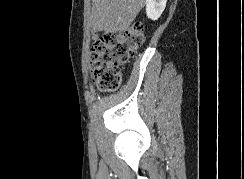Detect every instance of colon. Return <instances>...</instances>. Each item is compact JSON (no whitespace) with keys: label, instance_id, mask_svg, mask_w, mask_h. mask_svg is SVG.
I'll return each mask as SVG.
<instances>
[{"label":"colon","instance_id":"colon-1","mask_svg":"<svg viewBox=\"0 0 244 179\" xmlns=\"http://www.w3.org/2000/svg\"><path fill=\"white\" fill-rule=\"evenodd\" d=\"M145 40L142 24H134L122 33H109L94 38L92 78L103 91H115L122 79V66L128 64Z\"/></svg>","mask_w":244,"mask_h":179}]
</instances>
